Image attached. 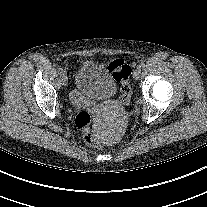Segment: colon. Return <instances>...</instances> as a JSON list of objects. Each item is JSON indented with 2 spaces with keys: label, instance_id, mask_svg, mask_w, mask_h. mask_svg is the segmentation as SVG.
I'll list each match as a JSON object with an SVG mask.
<instances>
[{
  "label": "colon",
  "instance_id": "5ec220e1",
  "mask_svg": "<svg viewBox=\"0 0 207 207\" xmlns=\"http://www.w3.org/2000/svg\"><path fill=\"white\" fill-rule=\"evenodd\" d=\"M108 69L114 79L121 85V102L127 105L131 97V87L129 78L132 73L131 67L122 59H114L109 62ZM92 115L88 111H81L76 115L75 125L77 128L84 130V141L93 148H100L97 137L90 130Z\"/></svg>",
  "mask_w": 207,
  "mask_h": 207
}]
</instances>
